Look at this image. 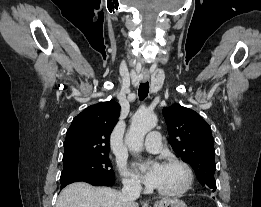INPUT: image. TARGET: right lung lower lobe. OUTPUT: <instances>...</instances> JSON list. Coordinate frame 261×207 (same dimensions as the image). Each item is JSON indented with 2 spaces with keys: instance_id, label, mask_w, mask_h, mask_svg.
Wrapping results in <instances>:
<instances>
[{
  "instance_id": "obj_1",
  "label": "right lung lower lobe",
  "mask_w": 261,
  "mask_h": 207,
  "mask_svg": "<svg viewBox=\"0 0 261 207\" xmlns=\"http://www.w3.org/2000/svg\"><path fill=\"white\" fill-rule=\"evenodd\" d=\"M78 181L87 182L94 186H112L115 183V178L114 177L77 178V179H73V180L61 183V189L70 183L78 182Z\"/></svg>"
}]
</instances>
